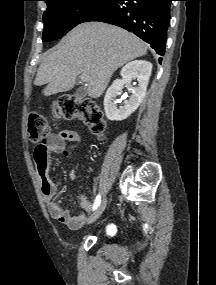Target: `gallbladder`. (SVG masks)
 I'll use <instances>...</instances> for the list:
<instances>
[{"instance_id":"1","label":"gallbladder","mask_w":216,"mask_h":285,"mask_svg":"<svg viewBox=\"0 0 216 285\" xmlns=\"http://www.w3.org/2000/svg\"><path fill=\"white\" fill-rule=\"evenodd\" d=\"M86 94H87V91H86V88H84V87L78 88L75 92V96L79 99L84 98L86 96Z\"/></svg>"}]
</instances>
